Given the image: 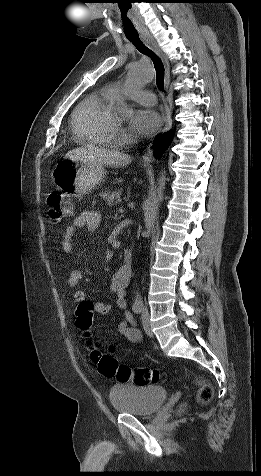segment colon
Wrapping results in <instances>:
<instances>
[{
	"label": "colon",
	"mask_w": 261,
	"mask_h": 476,
	"mask_svg": "<svg viewBox=\"0 0 261 476\" xmlns=\"http://www.w3.org/2000/svg\"><path fill=\"white\" fill-rule=\"evenodd\" d=\"M47 207L48 218L55 223L62 222L73 214L71 203L59 193H51L47 197ZM93 319V304L89 301L81 302L76 310L77 327L88 331L93 324ZM89 344L93 361L97 364L99 372L106 377H116L119 381H131L137 385L155 384L161 378L157 369L120 365L113 356L103 353L98 343L91 341ZM195 384L198 387V400L203 404L208 403L213 397L211 384L201 376L195 378Z\"/></svg>",
	"instance_id": "obj_1"
}]
</instances>
